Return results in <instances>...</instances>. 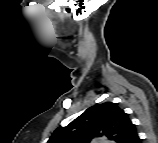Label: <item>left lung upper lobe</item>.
Instances as JSON below:
<instances>
[{
	"label": "left lung upper lobe",
	"instance_id": "1",
	"mask_svg": "<svg viewBox=\"0 0 158 143\" xmlns=\"http://www.w3.org/2000/svg\"><path fill=\"white\" fill-rule=\"evenodd\" d=\"M101 136L116 143H133L138 137L128 115L116 103L105 102L88 108L68 126L57 128L48 143H90Z\"/></svg>",
	"mask_w": 158,
	"mask_h": 143
}]
</instances>
